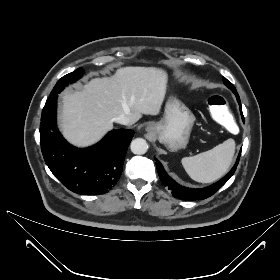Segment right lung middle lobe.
<instances>
[{
	"mask_svg": "<svg viewBox=\"0 0 280 280\" xmlns=\"http://www.w3.org/2000/svg\"><path fill=\"white\" fill-rule=\"evenodd\" d=\"M82 74H83L82 69L78 68L75 71H73L72 73H69V74L63 76L62 78H60V80L54 86L50 96H54V95H57L58 93H60L64 89V87L67 86L69 83L74 82V81L78 80L79 78H81Z\"/></svg>",
	"mask_w": 280,
	"mask_h": 280,
	"instance_id": "right-lung-middle-lobe-1",
	"label": "right lung middle lobe"
}]
</instances>
